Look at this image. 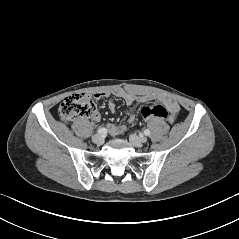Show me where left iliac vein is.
Returning <instances> with one entry per match:
<instances>
[{
  "label": "left iliac vein",
  "mask_w": 239,
  "mask_h": 239,
  "mask_svg": "<svg viewBox=\"0 0 239 239\" xmlns=\"http://www.w3.org/2000/svg\"><path fill=\"white\" fill-rule=\"evenodd\" d=\"M130 143L135 147H142L143 143L147 141L146 137H138L135 134H131L129 137Z\"/></svg>",
  "instance_id": "obj_1"
}]
</instances>
